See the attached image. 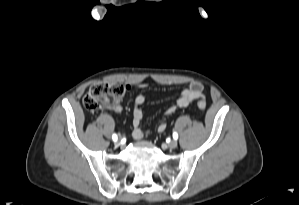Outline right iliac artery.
<instances>
[{
  "instance_id": "1",
  "label": "right iliac artery",
  "mask_w": 299,
  "mask_h": 205,
  "mask_svg": "<svg viewBox=\"0 0 299 205\" xmlns=\"http://www.w3.org/2000/svg\"><path fill=\"white\" fill-rule=\"evenodd\" d=\"M112 139H113V141H117V139H118V138H117V135H116V134H113V135H112Z\"/></svg>"
}]
</instances>
